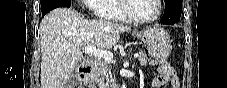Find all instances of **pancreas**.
I'll return each mask as SVG.
<instances>
[{"instance_id":"1","label":"pancreas","mask_w":227,"mask_h":88,"mask_svg":"<svg viewBox=\"0 0 227 88\" xmlns=\"http://www.w3.org/2000/svg\"><path fill=\"white\" fill-rule=\"evenodd\" d=\"M138 60H139L140 64L144 65V66H147L148 64L155 65V64H158L160 62L159 59H150V58H148L147 54L145 53V51H142V50L139 51ZM108 64L109 63L106 62V61H101L98 64V66H96L92 70L91 74L86 79V83L87 84H91V85H95L102 78H107L108 77V72H109Z\"/></svg>"}]
</instances>
